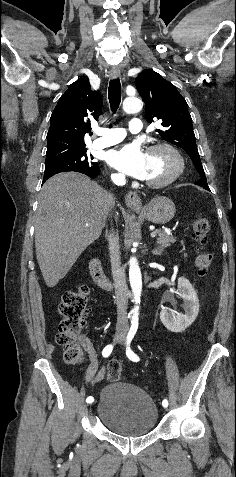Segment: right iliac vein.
Returning <instances> with one entry per match:
<instances>
[{
  "label": "right iliac vein",
  "mask_w": 236,
  "mask_h": 477,
  "mask_svg": "<svg viewBox=\"0 0 236 477\" xmlns=\"http://www.w3.org/2000/svg\"><path fill=\"white\" fill-rule=\"evenodd\" d=\"M123 338H124V334H122V333H117V334L115 335V337H114V341H115V342H120L121 340H123ZM94 401L96 402L97 400L95 399ZM95 402H94V404H92V405L89 404V407H90L91 409H90V408H87V409H86V412L89 413V414H87L88 417H91L92 414L94 413V410H93V409L96 408V406H97Z\"/></svg>",
  "instance_id": "1"
}]
</instances>
